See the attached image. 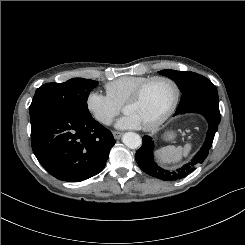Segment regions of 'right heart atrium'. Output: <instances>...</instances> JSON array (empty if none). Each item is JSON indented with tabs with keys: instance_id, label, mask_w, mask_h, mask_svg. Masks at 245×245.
I'll return each mask as SVG.
<instances>
[{
	"instance_id": "1",
	"label": "right heart atrium",
	"mask_w": 245,
	"mask_h": 245,
	"mask_svg": "<svg viewBox=\"0 0 245 245\" xmlns=\"http://www.w3.org/2000/svg\"><path fill=\"white\" fill-rule=\"evenodd\" d=\"M85 107L94 120L104 126L110 125L120 112L119 105L97 90L86 95Z\"/></svg>"
}]
</instances>
